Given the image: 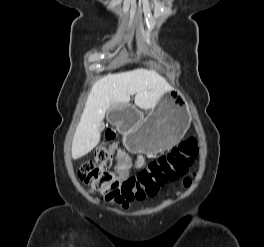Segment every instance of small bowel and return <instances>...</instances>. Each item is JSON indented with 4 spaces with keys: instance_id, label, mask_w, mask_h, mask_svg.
<instances>
[{
    "instance_id": "obj_1",
    "label": "small bowel",
    "mask_w": 264,
    "mask_h": 247,
    "mask_svg": "<svg viewBox=\"0 0 264 247\" xmlns=\"http://www.w3.org/2000/svg\"><path fill=\"white\" fill-rule=\"evenodd\" d=\"M117 158L119 160H125L128 164V160L125 158V155H124V151L122 148H119L118 151H117ZM144 164V158L142 155H138V158H137V161H136V167L137 168H140L142 165Z\"/></svg>"
}]
</instances>
